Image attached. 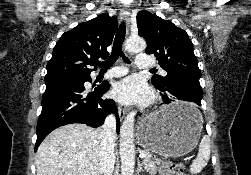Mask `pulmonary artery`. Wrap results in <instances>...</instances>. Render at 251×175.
Wrapping results in <instances>:
<instances>
[{"instance_id": "e3ab8cb5", "label": "pulmonary artery", "mask_w": 251, "mask_h": 175, "mask_svg": "<svg viewBox=\"0 0 251 175\" xmlns=\"http://www.w3.org/2000/svg\"><path fill=\"white\" fill-rule=\"evenodd\" d=\"M155 63V58H148L147 52H138L137 62H135V67H140V71H147V67H153ZM128 68L126 67H116L107 72V76L117 77L128 73ZM165 77L164 75L162 76Z\"/></svg>"}]
</instances>
